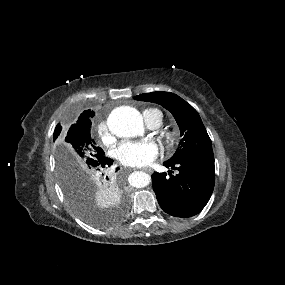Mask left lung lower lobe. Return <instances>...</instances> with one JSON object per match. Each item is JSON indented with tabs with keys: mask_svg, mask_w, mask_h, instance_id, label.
Returning <instances> with one entry per match:
<instances>
[{
	"mask_svg": "<svg viewBox=\"0 0 285 285\" xmlns=\"http://www.w3.org/2000/svg\"><path fill=\"white\" fill-rule=\"evenodd\" d=\"M172 170L152 175L153 189L161 208L176 217L198 214L209 201L215 183L214 157L164 162Z\"/></svg>",
	"mask_w": 285,
	"mask_h": 285,
	"instance_id": "obj_1",
	"label": "left lung lower lobe"
}]
</instances>
